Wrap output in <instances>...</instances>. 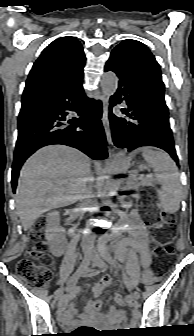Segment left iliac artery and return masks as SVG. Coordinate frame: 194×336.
Wrapping results in <instances>:
<instances>
[{
    "mask_svg": "<svg viewBox=\"0 0 194 336\" xmlns=\"http://www.w3.org/2000/svg\"><path fill=\"white\" fill-rule=\"evenodd\" d=\"M123 276H124V282H125L127 288L128 289H132L133 288V284L130 281V279L125 274H123Z\"/></svg>",
    "mask_w": 194,
    "mask_h": 336,
    "instance_id": "44dca946",
    "label": "left iliac artery"
}]
</instances>
